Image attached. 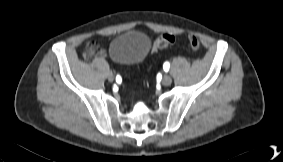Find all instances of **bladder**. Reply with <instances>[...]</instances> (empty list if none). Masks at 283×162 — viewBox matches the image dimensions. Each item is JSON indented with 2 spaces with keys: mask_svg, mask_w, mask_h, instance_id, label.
<instances>
[{
  "mask_svg": "<svg viewBox=\"0 0 283 162\" xmlns=\"http://www.w3.org/2000/svg\"><path fill=\"white\" fill-rule=\"evenodd\" d=\"M150 48L151 42L146 34L138 31H126L110 43L109 53L117 62L134 64L141 62Z\"/></svg>",
  "mask_w": 283,
  "mask_h": 162,
  "instance_id": "1",
  "label": "bladder"
}]
</instances>
